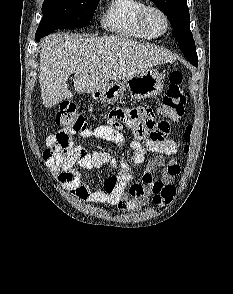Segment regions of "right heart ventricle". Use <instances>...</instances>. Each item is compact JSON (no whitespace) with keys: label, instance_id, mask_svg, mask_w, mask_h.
Instances as JSON below:
<instances>
[{"label":"right heart ventricle","instance_id":"right-heart-ventricle-1","mask_svg":"<svg viewBox=\"0 0 233 294\" xmlns=\"http://www.w3.org/2000/svg\"><path fill=\"white\" fill-rule=\"evenodd\" d=\"M147 6L143 0H109L101 17L102 26L117 35L139 40L154 38L140 21Z\"/></svg>","mask_w":233,"mask_h":294}]
</instances>
